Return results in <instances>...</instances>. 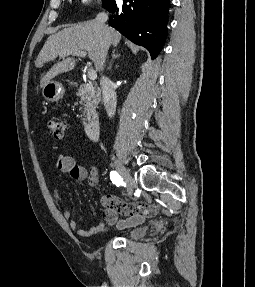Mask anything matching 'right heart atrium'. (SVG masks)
<instances>
[{
    "label": "right heart atrium",
    "mask_w": 255,
    "mask_h": 287,
    "mask_svg": "<svg viewBox=\"0 0 255 287\" xmlns=\"http://www.w3.org/2000/svg\"><path fill=\"white\" fill-rule=\"evenodd\" d=\"M66 48H80V47H66Z\"/></svg>",
    "instance_id": "right-heart-atrium-1"
}]
</instances>
